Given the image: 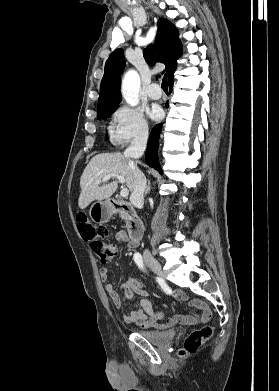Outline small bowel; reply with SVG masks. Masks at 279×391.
<instances>
[{"instance_id": "small-bowel-1", "label": "small bowel", "mask_w": 279, "mask_h": 391, "mask_svg": "<svg viewBox=\"0 0 279 391\" xmlns=\"http://www.w3.org/2000/svg\"><path fill=\"white\" fill-rule=\"evenodd\" d=\"M115 238L117 241L127 243L128 248L132 249L136 246L131 244L129 235L125 231H119L116 233ZM100 277L103 282H107L109 278V271L106 268L100 269ZM127 290H131L141 296L138 301L139 310L132 311L130 313H122V319L128 324H133L142 329H167L175 324L182 325H196L207 323L211 319V311L208 305L198 299L189 298L182 291H172L170 294L180 301L187 302L190 306L195 307L199 313H190L187 315H175L169 317L165 323H158V320L164 316V308L161 306L158 309H153L152 303L147 299V293L143 289V284L133 278L129 279L122 286ZM106 292L111 298L114 306L117 309L122 308V301L115 287L107 283L105 286Z\"/></svg>"}]
</instances>
